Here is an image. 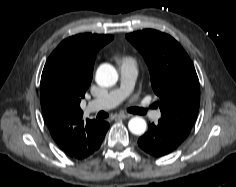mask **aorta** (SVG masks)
<instances>
[{"mask_svg":"<svg viewBox=\"0 0 236 187\" xmlns=\"http://www.w3.org/2000/svg\"><path fill=\"white\" fill-rule=\"evenodd\" d=\"M96 82L99 86L110 87L116 84L118 80V73L116 69L110 64H102L98 67L96 72ZM147 127L146 121L142 117H133L128 123V128L131 133L141 135L145 132Z\"/></svg>","mask_w":236,"mask_h":187,"instance_id":"762f6f07","label":"aorta"}]
</instances>
